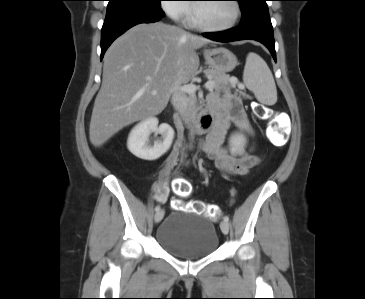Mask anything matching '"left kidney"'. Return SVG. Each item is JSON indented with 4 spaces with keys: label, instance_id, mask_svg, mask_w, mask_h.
Wrapping results in <instances>:
<instances>
[{
    "label": "left kidney",
    "instance_id": "left-kidney-1",
    "mask_svg": "<svg viewBox=\"0 0 365 299\" xmlns=\"http://www.w3.org/2000/svg\"><path fill=\"white\" fill-rule=\"evenodd\" d=\"M246 143V139L242 134H235L230 139V145L232 148V151L239 152L243 149L244 145Z\"/></svg>",
    "mask_w": 365,
    "mask_h": 299
}]
</instances>
